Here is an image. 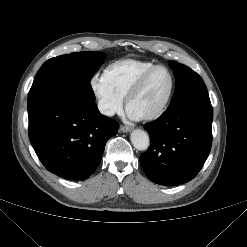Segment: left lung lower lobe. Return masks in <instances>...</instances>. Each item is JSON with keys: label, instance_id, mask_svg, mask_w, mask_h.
I'll return each mask as SVG.
<instances>
[{"label": "left lung lower lobe", "instance_id": "1", "mask_svg": "<svg viewBox=\"0 0 247 247\" xmlns=\"http://www.w3.org/2000/svg\"><path fill=\"white\" fill-rule=\"evenodd\" d=\"M212 120L210 99L203 98L170 107L145 124L150 147L140 163L147 177L167 186L192 180L210 153Z\"/></svg>", "mask_w": 247, "mask_h": 247}]
</instances>
